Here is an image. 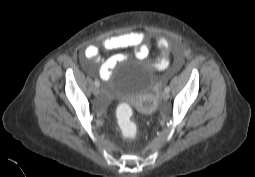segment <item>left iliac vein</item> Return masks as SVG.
Here are the masks:
<instances>
[{"mask_svg":"<svg viewBox=\"0 0 255 177\" xmlns=\"http://www.w3.org/2000/svg\"><path fill=\"white\" fill-rule=\"evenodd\" d=\"M169 96H170L169 92L164 91L162 93V97H163L164 100H167L169 98Z\"/></svg>","mask_w":255,"mask_h":177,"instance_id":"1","label":"left iliac vein"}]
</instances>
